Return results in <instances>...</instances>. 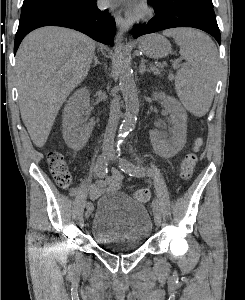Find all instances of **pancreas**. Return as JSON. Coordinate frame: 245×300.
I'll return each mask as SVG.
<instances>
[{
    "mask_svg": "<svg viewBox=\"0 0 245 300\" xmlns=\"http://www.w3.org/2000/svg\"><path fill=\"white\" fill-rule=\"evenodd\" d=\"M153 71L156 73V74H159L158 70L156 68H153Z\"/></svg>",
    "mask_w": 245,
    "mask_h": 300,
    "instance_id": "cf45deb5",
    "label": "pancreas"
}]
</instances>
